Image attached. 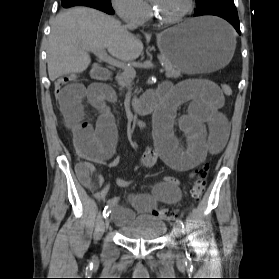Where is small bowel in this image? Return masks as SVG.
Masks as SVG:
<instances>
[{
	"label": "small bowel",
	"mask_w": 279,
	"mask_h": 279,
	"mask_svg": "<svg viewBox=\"0 0 279 279\" xmlns=\"http://www.w3.org/2000/svg\"><path fill=\"white\" fill-rule=\"evenodd\" d=\"M159 101L154 114L153 148L146 150L140 163L145 168L152 167L158 159L178 171H191L203 163L208 154H217L225 146L229 136V124L221 112L224 97L218 86L202 79L187 80L175 87L164 83L152 96ZM115 99L108 86L92 84L85 87L79 83L66 85L58 102L65 125L73 137L78 155L84 159L75 167L79 182L91 190L98 200H102L107 188L100 190L103 178L94 175V164L115 167L119 159L115 156L117 129L107 105ZM101 109L102 114L95 126L86 120L84 101ZM188 103V111L179 117V128L185 136L186 146L182 147L173 133V121L179 106ZM194 177V172H191ZM119 187H128L130 182L116 178ZM182 196L180 181L166 176L158 181L150 193L133 195L130 198L134 210L149 213L159 203L175 204ZM120 197L107 201L113 209L114 220L126 224L134 218V212L119 205Z\"/></svg>",
	"instance_id": "obj_1"
}]
</instances>
